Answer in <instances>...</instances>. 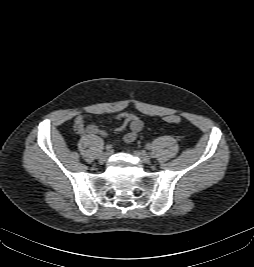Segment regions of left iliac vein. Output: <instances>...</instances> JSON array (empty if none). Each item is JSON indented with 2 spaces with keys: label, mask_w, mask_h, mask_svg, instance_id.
I'll list each match as a JSON object with an SVG mask.
<instances>
[{
  "label": "left iliac vein",
  "mask_w": 254,
  "mask_h": 267,
  "mask_svg": "<svg viewBox=\"0 0 254 267\" xmlns=\"http://www.w3.org/2000/svg\"><path fill=\"white\" fill-rule=\"evenodd\" d=\"M134 155L140 159L141 162L145 164H150L151 163V158L150 156L145 153L144 151H134Z\"/></svg>",
  "instance_id": "obj_1"
}]
</instances>
